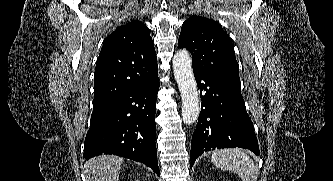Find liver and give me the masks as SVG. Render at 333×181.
<instances>
[{"mask_svg":"<svg viewBox=\"0 0 333 181\" xmlns=\"http://www.w3.org/2000/svg\"><path fill=\"white\" fill-rule=\"evenodd\" d=\"M123 158L113 155H100L88 160L84 165L86 181H118Z\"/></svg>","mask_w":333,"mask_h":181,"instance_id":"liver-1","label":"liver"}]
</instances>
